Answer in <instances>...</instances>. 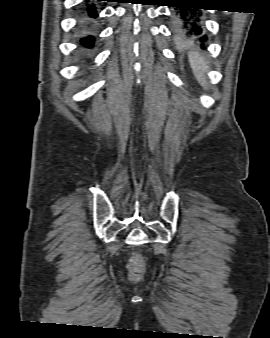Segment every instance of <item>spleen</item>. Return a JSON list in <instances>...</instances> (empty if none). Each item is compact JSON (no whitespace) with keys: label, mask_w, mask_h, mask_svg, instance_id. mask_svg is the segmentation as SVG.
I'll use <instances>...</instances> for the list:
<instances>
[{"label":"spleen","mask_w":270,"mask_h":338,"mask_svg":"<svg viewBox=\"0 0 270 338\" xmlns=\"http://www.w3.org/2000/svg\"><path fill=\"white\" fill-rule=\"evenodd\" d=\"M188 59L196 79L205 89H207L208 83L204 73L209 68L208 62L200 53L196 51L189 52Z\"/></svg>","instance_id":"3e777b00"}]
</instances>
